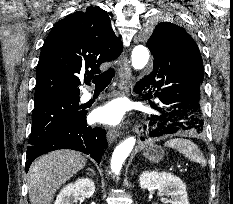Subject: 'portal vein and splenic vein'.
<instances>
[{
    "label": "portal vein and splenic vein",
    "mask_w": 233,
    "mask_h": 204,
    "mask_svg": "<svg viewBox=\"0 0 233 204\" xmlns=\"http://www.w3.org/2000/svg\"><path fill=\"white\" fill-rule=\"evenodd\" d=\"M177 167L180 169V167H181V166H180V165H178Z\"/></svg>",
    "instance_id": "obj_1"
}]
</instances>
